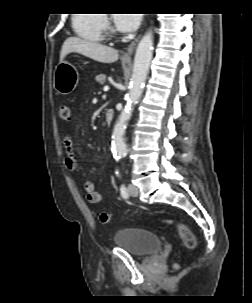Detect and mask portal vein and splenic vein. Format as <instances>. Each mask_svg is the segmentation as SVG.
I'll return each mask as SVG.
<instances>
[{"instance_id":"obj_1","label":"portal vein and splenic vein","mask_w":252,"mask_h":303,"mask_svg":"<svg viewBox=\"0 0 252 303\" xmlns=\"http://www.w3.org/2000/svg\"><path fill=\"white\" fill-rule=\"evenodd\" d=\"M108 90H109V86H108V85H105L104 88H103V91L106 92V91H108Z\"/></svg>"}]
</instances>
